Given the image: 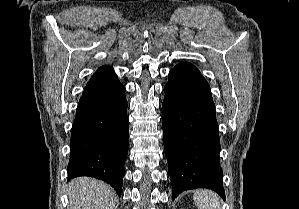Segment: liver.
<instances>
[{
    "label": "liver",
    "mask_w": 299,
    "mask_h": 209,
    "mask_svg": "<svg viewBox=\"0 0 299 209\" xmlns=\"http://www.w3.org/2000/svg\"><path fill=\"white\" fill-rule=\"evenodd\" d=\"M69 209H115L116 193L106 183L79 177L69 183Z\"/></svg>",
    "instance_id": "obj_1"
}]
</instances>
